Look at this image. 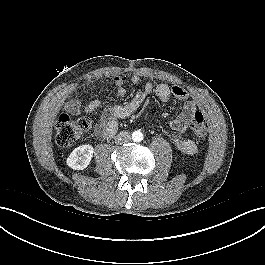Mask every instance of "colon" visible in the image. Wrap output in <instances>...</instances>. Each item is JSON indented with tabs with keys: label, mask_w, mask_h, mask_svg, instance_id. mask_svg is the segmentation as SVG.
<instances>
[{
	"label": "colon",
	"mask_w": 265,
	"mask_h": 265,
	"mask_svg": "<svg viewBox=\"0 0 265 265\" xmlns=\"http://www.w3.org/2000/svg\"><path fill=\"white\" fill-rule=\"evenodd\" d=\"M92 122L87 117L73 119L68 115H60L55 124L56 143L60 147H66L77 141L80 136L91 128ZM192 133L198 138H205L207 135V121L205 116L197 111L190 122Z\"/></svg>",
	"instance_id": "colon-1"
}]
</instances>
